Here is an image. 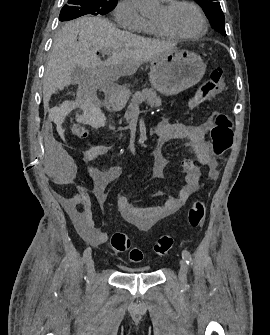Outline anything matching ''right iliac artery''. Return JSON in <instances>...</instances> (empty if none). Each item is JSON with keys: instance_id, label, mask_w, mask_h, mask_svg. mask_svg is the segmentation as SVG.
Wrapping results in <instances>:
<instances>
[{"instance_id": "right-iliac-artery-1", "label": "right iliac artery", "mask_w": 270, "mask_h": 335, "mask_svg": "<svg viewBox=\"0 0 270 335\" xmlns=\"http://www.w3.org/2000/svg\"><path fill=\"white\" fill-rule=\"evenodd\" d=\"M91 252H92V250H91L90 247H88V248L85 249V251H84V253H83V260H84L85 262L90 258V256H91Z\"/></svg>"}]
</instances>
